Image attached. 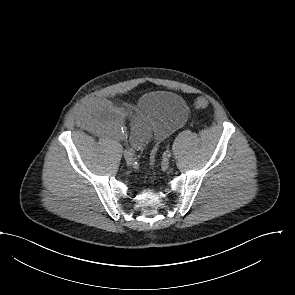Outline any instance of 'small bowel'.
Returning a JSON list of instances; mask_svg holds the SVG:
<instances>
[{
	"mask_svg": "<svg viewBox=\"0 0 295 295\" xmlns=\"http://www.w3.org/2000/svg\"><path fill=\"white\" fill-rule=\"evenodd\" d=\"M122 117L123 112L105 99L92 101L82 114V120L86 124L105 134L113 133ZM130 128L131 145L137 150L142 149L152 136L148 120L141 113L133 112L130 116Z\"/></svg>",
	"mask_w": 295,
	"mask_h": 295,
	"instance_id": "1",
	"label": "small bowel"
}]
</instances>
